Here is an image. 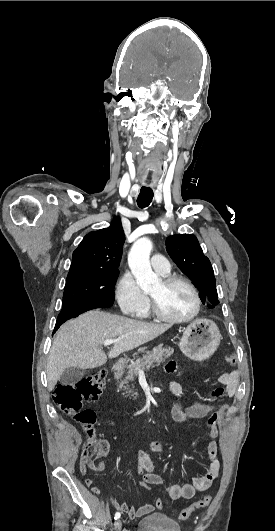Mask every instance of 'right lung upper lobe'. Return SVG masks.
Instances as JSON below:
<instances>
[{"mask_svg":"<svg viewBox=\"0 0 275 531\" xmlns=\"http://www.w3.org/2000/svg\"><path fill=\"white\" fill-rule=\"evenodd\" d=\"M125 241L122 224L115 217L108 228L90 232L73 252L68 274L85 271H118Z\"/></svg>","mask_w":275,"mask_h":531,"instance_id":"right-lung-upper-lobe-1","label":"right lung upper lobe"}]
</instances>
